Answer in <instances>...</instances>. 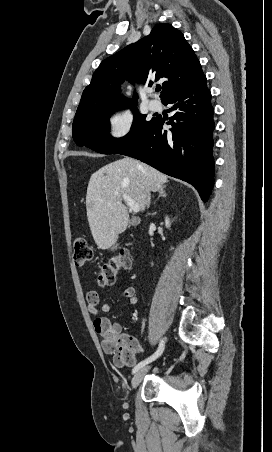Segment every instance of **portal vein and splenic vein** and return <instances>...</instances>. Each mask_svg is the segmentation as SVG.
<instances>
[{
  "instance_id": "18ae733b",
  "label": "portal vein and splenic vein",
  "mask_w": 272,
  "mask_h": 452,
  "mask_svg": "<svg viewBox=\"0 0 272 452\" xmlns=\"http://www.w3.org/2000/svg\"><path fill=\"white\" fill-rule=\"evenodd\" d=\"M123 200L127 204V206L133 211V212H139V205L136 203L130 196L123 194L122 195Z\"/></svg>"
}]
</instances>
